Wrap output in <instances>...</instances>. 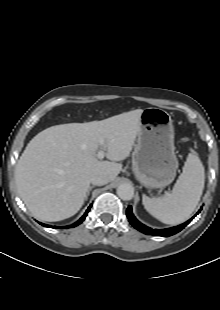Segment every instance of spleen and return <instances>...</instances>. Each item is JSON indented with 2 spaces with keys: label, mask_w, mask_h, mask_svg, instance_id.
Returning <instances> with one entry per match:
<instances>
[{
  "label": "spleen",
  "mask_w": 220,
  "mask_h": 310,
  "mask_svg": "<svg viewBox=\"0 0 220 310\" xmlns=\"http://www.w3.org/2000/svg\"><path fill=\"white\" fill-rule=\"evenodd\" d=\"M205 183L204 167L195 152L188 154L183 172L171 193L159 198H142L145 209L165 224L186 221L198 205Z\"/></svg>",
  "instance_id": "spleen-1"
}]
</instances>
